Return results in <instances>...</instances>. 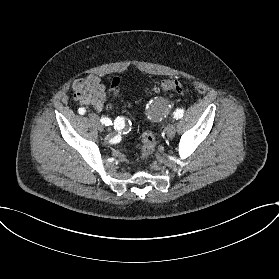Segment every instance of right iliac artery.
I'll return each instance as SVG.
<instances>
[{"label": "right iliac artery", "mask_w": 279, "mask_h": 279, "mask_svg": "<svg viewBox=\"0 0 279 279\" xmlns=\"http://www.w3.org/2000/svg\"><path fill=\"white\" fill-rule=\"evenodd\" d=\"M79 113L80 114H84L85 113V109L84 108H79ZM124 117H119L117 119H114V120H110L109 118H106V117H102V119L100 120L102 124H105L106 126H109V125H114L115 128L119 131L125 129V121H124Z\"/></svg>", "instance_id": "82829eb1"}]
</instances>
